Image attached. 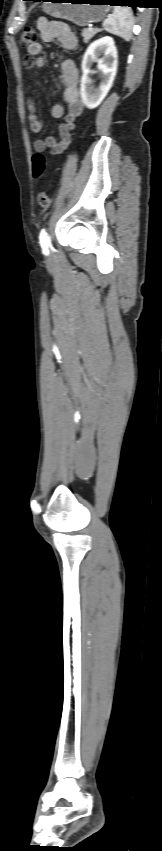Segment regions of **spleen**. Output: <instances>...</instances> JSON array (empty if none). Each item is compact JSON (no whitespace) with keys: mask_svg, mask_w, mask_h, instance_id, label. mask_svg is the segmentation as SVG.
Listing matches in <instances>:
<instances>
[{"mask_svg":"<svg viewBox=\"0 0 162 851\" xmlns=\"http://www.w3.org/2000/svg\"><path fill=\"white\" fill-rule=\"evenodd\" d=\"M133 16L128 7L115 6L113 13L103 22V28L114 35L129 41L132 37Z\"/></svg>","mask_w":162,"mask_h":851,"instance_id":"1","label":"spleen"}]
</instances>
